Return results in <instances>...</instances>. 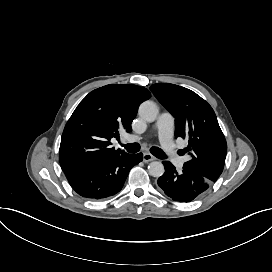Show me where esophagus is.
<instances>
[{"instance_id": "34e87169", "label": "esophagus", "mask_w": 272, "mask_h": 272, "mask_svg": "<svg viewBox=\"0 0 272 272\" xmlns=\"http://www.w3.org/2000/svg\"><path fill=\"white\" fill-rule=\"evenodd\" d=\"M154 160H156V157H154L152 154L143 153V161L144 162H149V161H154Z\"/></svg>"}]
</instances>
